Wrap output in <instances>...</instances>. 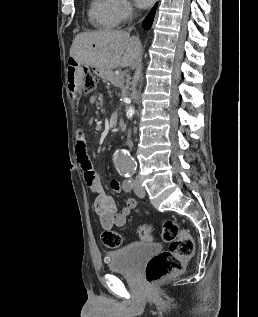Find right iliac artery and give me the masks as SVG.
<instances>
[{
    "label": "right iliac artery",
    "instance_id": "right-iliac-artery-1",
    "mask_svg": "<svg viewBox=\"0 0 258 317\" xmlns=\"http://www.w3.org/2000/svg\"><path fill=\"white\" fill-rule=\"evenodd\" d=\"M123 189L125 190V192H131L132 190V183L129 179L124 180L123 182Z\"/></svg>",
    "mask_w": 258,
    "mask_h": 317
}]
</instances>
